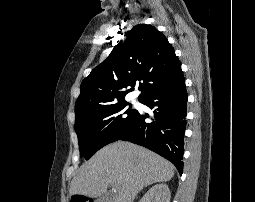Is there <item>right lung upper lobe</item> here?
<instances>
[{
    "instance_id": "cb5924a9",
    "label": "right lung upper lobe",
    "mask_w": 255,
    "mask_h": 202,
    "mask_svg": "<svg viewBox=\"0 0 255 202\" xmlns=\"http://www.w3.org/2000/svg\"><path fill=\"white\" fill-rule=\"evenodd\" d=\"M110 55L81 83V93L75 105L76 120L112 104L126 102L131 90L123 88L139 84V100L181 79V63L167 38L154 26L138 24L126 32Z\"/></svg>"
}]
</instances>
